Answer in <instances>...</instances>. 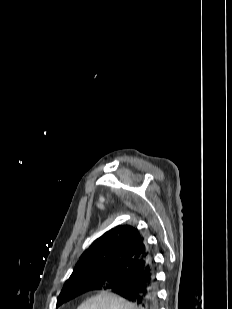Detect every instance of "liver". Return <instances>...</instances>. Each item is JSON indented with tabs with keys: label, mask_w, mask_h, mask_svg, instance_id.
I'll return each mask as SVG.
<instances>
[{
	"label": "liver",
	"mask_w": 232,
	"mask_h": 309,
	"mask_svg": "<svg viewBox=\"0 0 232 309\" xmlns=\"http://www.w3.org/2000/svg\"><path fill=\"white\" fill-rule=\"evenodd\" d=\"M77 309H139L135 304L112 293L102 292L83 302Z\"/></svg>",
	"instance_id": "6515ba94"
}]
</instances>
